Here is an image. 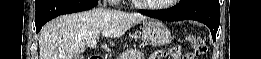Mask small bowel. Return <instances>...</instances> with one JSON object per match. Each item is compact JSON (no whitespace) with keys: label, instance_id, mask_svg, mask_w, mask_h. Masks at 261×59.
<instances>
[{"label":"small bowel","instance_id":"small-bowel-1","mask_svg":"<svg viewBox=\"0 0 261 59\" xmlns=\"http://www.w3.org/2000/svg\"><path fill=\"white\" fill-rule=\"evenodd\" d=\"M191 56L194 58V56L191 55V54H186L184 58H185V59H193V58H190ZM161 58H169V57H167L166 54H165V52L162 51V50L157 51V52L153 55V59H161ZM170 58H171V57H170ZM173 59H174V58H173Z\"/></svg>","mask_w":261,"mask_h":59}]
</instances>
